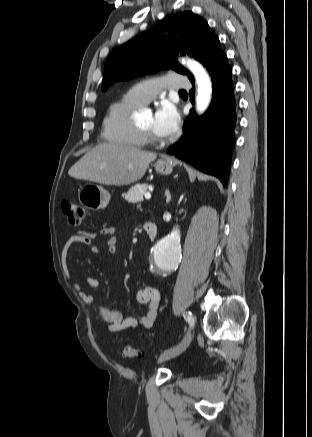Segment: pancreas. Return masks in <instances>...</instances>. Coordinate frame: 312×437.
<instances>
[{
    "label": "pancreas",
    "instance_id": "cf45deb5",
    "mask_svg": "<svg viewBox=\"0 0 312 437\" xmlns=\"http://www.w3.org/2000/svg\"><path fill=\"white\" fill-rule=\"evenodd\" d=\"M148 189L147 184H137L132 186L127 193L124 194L125 200L129 203H138L143 201V196Z\"/></svg>",
    "mask_w": 312,
    "mask_h": 437
}]
</instances>
